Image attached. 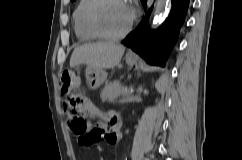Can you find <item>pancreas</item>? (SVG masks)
I'll use <instances>...</instances> for the list:
<instances>
[{"instance_id": "1", "label": "pancreas", "mask_w": 242, "mask_h": 160, "mask_svg": "<svg viewBox=\"0 0 242 160\" xmlns=\"http://www.w3.org/2000/svg\"><path fill=\"white\" fill-rule=\"evenodd\" d=\"M127 88L123 87L119 81H114L105 85L100 93V98L103 102H115L118 97L123 96Z\"/></svg>"}]
</instances>
